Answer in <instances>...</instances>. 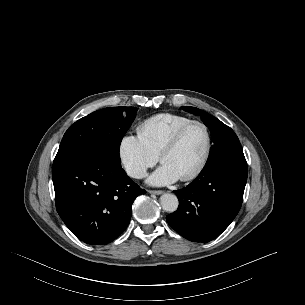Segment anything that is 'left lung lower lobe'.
I'll return each mask as SVG.
<instances>
[{"mask_svg":"<svg viewBox=\"0 0 305 305\" xmlns=\"http://www.w3.org/2000/svg\"><path fill=\"white\" fill-rule=\"evenodd\" d=\"M247 174L243 151L206 165L191 184L174 191L179 207L166 217L167 222L190 241L215 239L240 210Z\"/></svg>","mask_w":305,"mask_h":305,"instance_id":"0a47b994","label":"left lung lower lobe"}]
</instances>
